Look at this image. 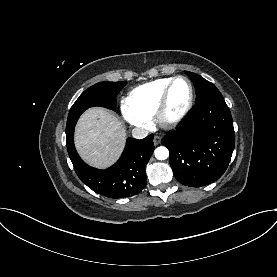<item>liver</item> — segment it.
Instances as JSON below:
<instances>
[{
    "label": "liver",
    "mask_w": 277,
    "mask_h": 277,
    "mask_svg": "<svg viewBox=\"0 0 277 277\" xmlns=\"http://www.w3.org/2000/svg\"><path fill=\"white\" fill-rule=\"evenodd\" d=\"M124 143L123 124L103 108L88 109L76 125V149L93 167L103 169L112 165L120 156Z\"/></svg>",
    "instance_id": "liver-1"
}]
</instances>
